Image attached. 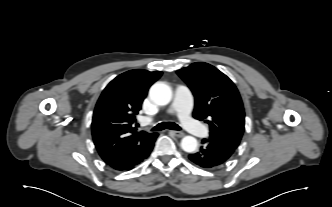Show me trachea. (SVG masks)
I'll use <instances>...</instances> for the list:
<instances>
[{"label":"trachea","instance_id":"obj_1","mask_svg":"<svg viewBox=\"0 0 332 207\" xmlns=\"http://www.w3.org/2000/svg\"><path fill=\"white\" fill-rule=\"evenodd\" d=\"M166 128L171 129V130H181V127L178 126L176 123L162 122V123L157 124L154 128H152V131H161Z\"/></svg>","mask_w":332,"mask_h":207}]
</instances>
